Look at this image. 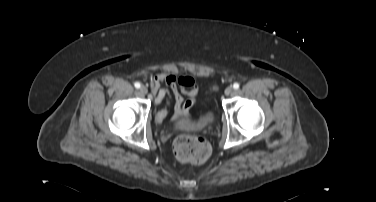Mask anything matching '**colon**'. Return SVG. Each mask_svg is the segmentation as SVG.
Listing matches in <instances>:
<instances>
[{
	"label": "colon",
	"mask_w": 376,
	"mask_h": 202,
	"mask_svg": "<svg viewBox=\"0 0 376 202\" xmlns=\"http://www.w3.org/2000/svg\"><path fill=\"white\" fill-rule=\"evenodd\" d=\"M173 151L181 162L202 163L210 155V146L202 137L180 135L174 140Z\"/></svg>",
	"instance_id": "1"
}]
</instances>
